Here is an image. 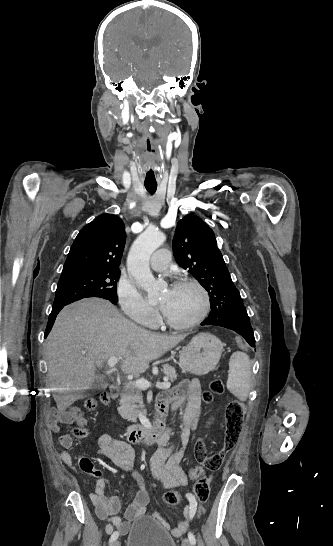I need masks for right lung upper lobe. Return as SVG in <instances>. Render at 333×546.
I'll list each match as a JSON object with an SVG mask.
<instances>
[{
	"instance_id": "cb5924a9",
	"label": "right lung upper lobe",
	"mask_w": 333,
	"mask_h": 546,
	"mask_svg": "<svg viewBox=\"0 0 333 546\" xmlns=\"http://www.w3.org/2000/svg\"><path fill=\"white\" fill-rule=\"evenodd\" d=\"M125 241L123 221L113 214L99 215L80 230L61 275L119 270Z\"/></svg>"
}]
</instances>
